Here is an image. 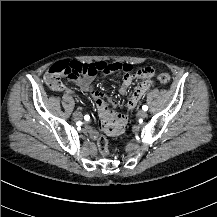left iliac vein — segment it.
<instances>
[{
	"label": "left iliac vein",
	"mask_w": 217,
	"mask_h": 217,
	"mask_svg": "<svg viewBox=\"0 0 217 217\" xmlns=\"http://www.w3.org/2000/svg\"><path fill=\"white\" fill-rule=\"evenodd\" d=\"M137 117H138V118H141V119H144V118L147 117V112L144 111V110H140V111H138V113H137Z\"/></svg>",
	"instance_id": "obj_1"
}]
</instances>
